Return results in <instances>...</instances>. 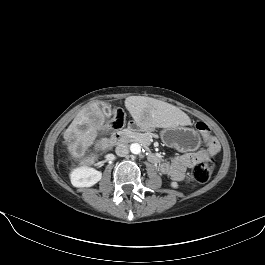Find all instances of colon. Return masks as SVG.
Returning <instances> with one entry per match:
<instances>
[{"label":"colon","instance_id":"obj_1","mask_svg":"<svg viewBox=\"0 0 265 265\" xmlns=\"http://www.w3.org/2000/svg\"><path fill=\"white\" fill-rule=\"evenodd\" d=\"M125 123H126L125 112L120 108L114 109L109 123L110 129L120 130L124 127ZM196 128L204 135L205 140H209L210 138L209 128L204 122H198L196 124ZM214 168H215L214 160H206L200 162L193 167L192 179L199 184L206 183L209 180Z\"/></svg>","mask_w":265,"mask_h":265}]
</instances>
